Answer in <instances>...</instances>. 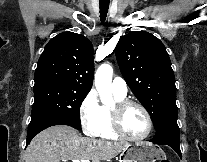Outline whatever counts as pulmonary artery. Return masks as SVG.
<instances>
[{
  "label": "pulmonary artery",
  "mask_w": 207,
  "mask_h": 162,
  "mask_svg": "<svg viewBox=\"0 0 207 162\" xmlns=\"http://www.w3.org/2000/svg\"><path fill=\"white\" fill-rule=\"evenodd\" d=\"M111 90L115 96L126 97L127 84L122 78L117 77L112 81Z\"/></svg>",
  "instance_id": "obj_1"
}]
</instances>
